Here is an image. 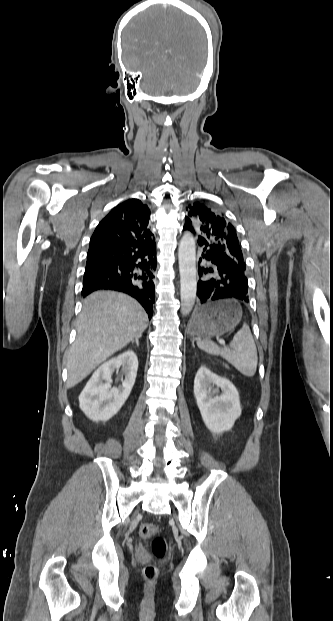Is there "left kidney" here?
I'll return each instance as SVG.
<instances>
[{"label":"left kidney","mask_w":333,"mask_h":621,"mask_svg":"<svg viewBox=\"0 0 333 621\" xmlns=\"http://www.w3.org/2000/svg\"><path fill=\"white\" fill-rule=\"evenodd\" d=\"M219 388L222 393L218 395ZM194 396L203 422L211 432L230 430L242 413L235 386L205 366L200 367L195 376Z\"/></svg>","instance_id":"5707ae66"}]
</instances>
